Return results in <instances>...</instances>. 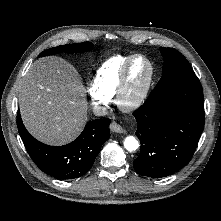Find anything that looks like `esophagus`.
I'll list each match as a JSON object with an SVG mask.
<instances>
[{"label": "esophagus", "mask_w": 221, "mask_h": 221, "mask_svg": "<svg viewBox=\"0 0 221 221\" xmlns=\"http://www.w3.org/2000/svg\"><path fill=\"white\" fill-rule=\"evenodd\" d=\"M110 129L116 133H124L125 132L124 129L122 128V126L114 121L110 124Z\"/></svg>", "instance_id": "obj_1"}]
</instances>
